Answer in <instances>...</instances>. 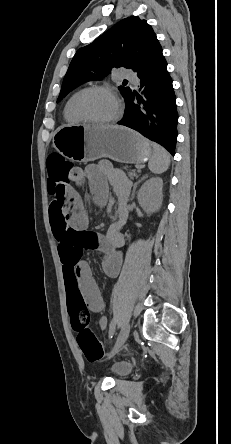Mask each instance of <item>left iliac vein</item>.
I'll use <instances>...</instances> for the list:
<instances>
[{
	"label": "left iliac vein",
	"instance_id": "4c4485c4",
	"mask_svg": "<svg viewBox=\"0 0 231 444\" xmlns=\"http://www.w3.org/2000/svg\"><path fill=\"white\" fill-rule=\"evenodd\" d=\"M129 332H130V324L125 323L123 325L118 337H117V340H116V343H115L113 349L108 354L109 358L113 357L120 350V348L123 346V344L127 340Z\"/></svg>",
	"mask_w": 231,
	"mask_h": 444
}]
</instances>
